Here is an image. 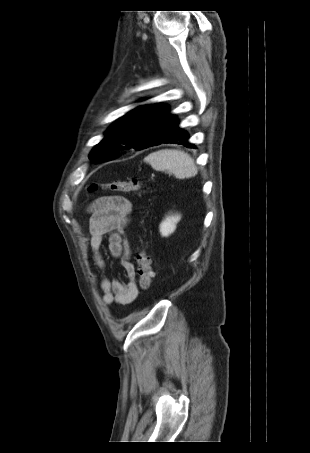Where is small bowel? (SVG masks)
<instances>
[{
	"label": "small bowel",
	"instance_id": "1",
	"mask_svg": "<svg viewBox=\"0 0 310 453\" xmlns=\"http://www.w3.org/2000/svg\"><path fill=\"white\" fill-rule=\"evenodd\" d=\"M132 211L131 202L123 196H105L97 199L91 206L88 222L89 237L87 247L91 252L94 264L105 269V260L100 253V247L105 236L108 237L109 251L121 260L126 273L127 282L108 277L99 278L95 272H90L93 283L102 291V301L105 305L132 303L138 296L135 266L131 261V247L126 236V230Z\"/></svg>",
	"mask_w": 310,
	"mask_h": 453
}]
</instances>
